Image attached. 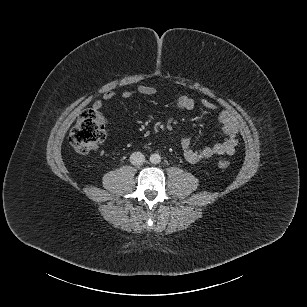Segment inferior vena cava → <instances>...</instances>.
Returning <instances> with one entry per match:
<instances>
[{
    "instance_id": "inferior-vena-cava-1",
    "label": "inferior vena cava",
    "mask_w": 307,
    "mask_h": 307,
    "mask_svg": "<svg viewBox=\"0 0 307 307\" xmlns=\"http://www.w3.org/2000/svg\"><path fill=\"white\" fill-rule=\"evenodd\" d=\"M130 162L133 165H142L145 162V157L141 152H134L130 156Z\"/></svg>"
}]
</instances>
